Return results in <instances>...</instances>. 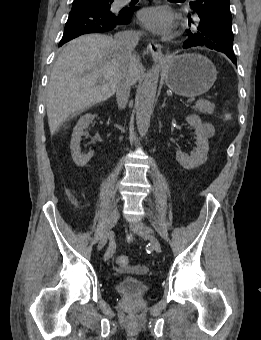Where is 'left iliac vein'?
<instances>
[{
  "label": "left iliac vein",
  "instance_id": "left-iliac-vein-1",
  "mask_svg": "<svg viewBox=\"0 0 261 340\" xmlns=\"http://www.w3.org/2000/svg\"><path fill=\"white\" fill-rule=\"evenodd\" d=\"M129 227L132 232L139 234L145 238H148L152 248L157 253H161L162 248H161L160 242L154 235L149 233V231L146 229L145 225L142 222L132 223L130 224Z\"/></svg>",
  "mask_w": 261,
  "mask_h": 340
}]
</instances>
